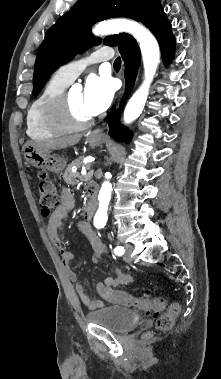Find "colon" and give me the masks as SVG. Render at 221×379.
I'll return each mask as SVG.
<instances>
[{
	"label": "colon",
	"mask_w": 221,
	"mask_h": 379,
	"mask_svg": "<svg viewBox=\"0 0 221 379\" xmlns=\"http://www.w3.org/2000/svg\"><path fill=\"white\" fill-rule=\"evenodd\" d=\"M39 206L44 217L51 216L58 208L59 196L54 182L45 171H39ZM100 295L107 301L132 307L143 311L147 315L158 316L156 327L159 331H168L173 327L175 317L180 311L178 303H171L165 312V301L160 297H152L149 293L141 296H133L124 291L114 290L100 284L98 286ZM162 312V313H161ZM161 313V314H160ZM149 337V335H146Z\"/></svg>",
	"instance_id": "colon-1"
}]
</instances>
